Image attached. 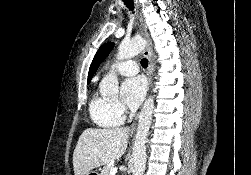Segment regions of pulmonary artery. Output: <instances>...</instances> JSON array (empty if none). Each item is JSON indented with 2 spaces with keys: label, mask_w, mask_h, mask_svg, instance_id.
Instances as JSON below:
<instances>
[{
  "label": "pulmonary artery",
  "mask_w": 251,
  "mask_h": 175,
  "mask_svg": "<svg viewBox=\"0 0 251 175\" xmlns=\"http://www.w3.org/2000/svg\"><path fill=\"white\" fill-rule=\"evenodd\" d=\"M110 71L117 72L119 74L132 75L139 72V68L136 62H124L120 65L119 62H116L114 66L110 68Z\"/></svg>",
  "instance_id": "1"
}]
</instances>
